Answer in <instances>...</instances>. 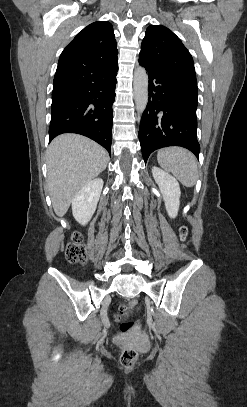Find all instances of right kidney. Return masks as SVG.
<instances>
[{
	"mask_svg": "<svg viewBox=\"0 0 247 407\" xmlns=\"http://www.w3.org/2000/svg\"><path fill=\"white\" fill-rule=\"evenodd\" d=\"M103 184L102 179H94L83 186L72 199V214L81 225H85L91 220L96 210Z\"/></svg>",
	"mask_w": 247,
	"mask_h": 407,
	"instance_id": "ca27d5eb",
	"label": "right kidney"
}]
</instances>
